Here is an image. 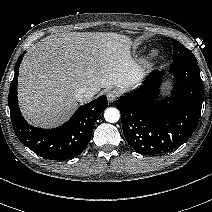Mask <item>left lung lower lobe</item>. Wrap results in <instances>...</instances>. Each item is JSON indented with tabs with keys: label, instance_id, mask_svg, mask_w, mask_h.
Instances as JSON below:
<instances>
[{
	"label": "left lung lower lobe",
	"instance_id": "obj_1",
	"mask_svg": "<svg viewBox=\"0 0 212 212\" xmlns=\"http://www.w3.org/2000/svg\"><path fill=\"white\" fill-rule=\"evenodd\" d=\"M170 68L177 81L171 98L155 100L164 71L154 70L140 89L116 101L124 136L138 153L168 152L185 142L197 127L203 102L197 62H172Z\"/></svg>",
	"mask_w": 212,
	"mask_h": 212
}]
</instances>
